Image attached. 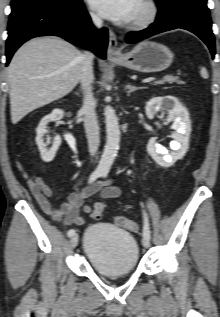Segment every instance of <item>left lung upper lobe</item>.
Here are the masks:
<instances>
[{"label":"left lung upper lobe","instance_id":"left-lung-upper-lobe-1","mask_svg":"<svg viewBox=\"0 0 220 317\" xmlns=\"http://www.w3.org/2000/svg\"><path fill=\"white\" fill-rule=\"evenodd\" d=\"M166 0H156L157 3L165 2Z\"/></svg>","mask_w":220,"mask_h":317}]
</instances>
